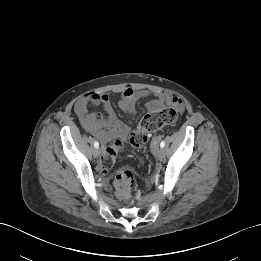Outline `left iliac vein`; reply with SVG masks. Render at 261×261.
Returning a JSON list of instances; mask_svg holds the SVG:
<instances>
[{"mask_svg":"<svg viewBox=\"0 0 261 261\" xmlns=\"http://www.w3.org/2000/svg\"><path fill=\"white\" fill-rule=\"evenodd\" d=\"M155 155H156V157L158 158V159H163L164 158V150H163V148H156L155 149Z\"/></svg>","mask_w":261,"mask_h":261,"instance_id":"1","label":"left iliac vein"}]
</instances>
